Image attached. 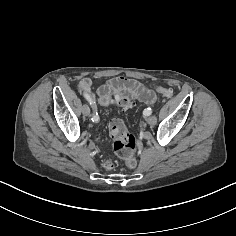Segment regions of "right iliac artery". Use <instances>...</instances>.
I'll list each match as a JSON object with an SVG mask.
<instances>
[{
    "label": "right iliac artery",
    "mask_w": 236,
    "mask_h": 236,
    "mask_svg": "<svg viewBox=\"0 0 236 236\" xmlns=\"http://www.w3.org/2000/svg\"><path fill=\"white\" fill-rule=\"evenodd\" d=\"M83 95H84V97L90 102L89 96H88L87 94H85V93H84ZM90 104H91V102H90ZM92 121H93V122H98V121H99V116H98L97 113L93 115Z\"/></svg>",
    "instance_id": "right-iliac-artery-1"
}]
</instances>
